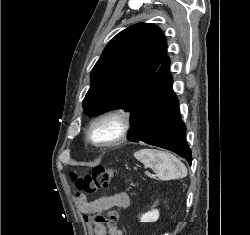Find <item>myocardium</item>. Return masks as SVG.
Wrapping results in <instances>:
<instances>
[{
	"label": "myocardium",
	"mask_w": 250,
	"mask_h": 235,
	"mask_svg": "<svg viewBox=\"0 0 250 235\" xmlns=\"http://www.w3.org/2000/svg\"><path fill=\"white\" fill-rule=\"evenodd\" d=\"M104 123L114 124L116 132L111 138L98 139L94 136V132ZM131 127V116L127 110L122 108H111L99 113L91 120L86 131V139L90 145L96 148H111L121 144L127 139Z\"/></svg>",
	"instance_id": "myocardium-1"
}]
</instances>
